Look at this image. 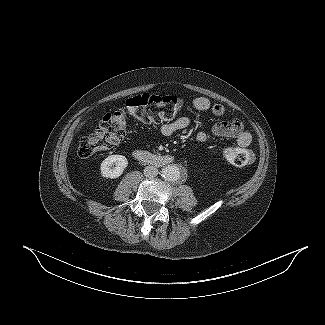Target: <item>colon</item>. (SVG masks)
Listing matches in <instances>:
<instances>
[{
  "instance_id": "obj_1",
  "label": "colon",
  "mask_w": 325,
  "mask_h": 325,
  "mask_svg": "<svg viewBox=\"0 0 325 325\" xmlns=\"http://www.w3.org/2000/svg\"><path fill=\"white\" fill-rule=\"evenodd\" d=\"M182 106V100L172 95L141 94L131 97L124 106L106 113L93 132L81 135L78 153L85 158L114 148L126 135L128 117L145 124H160L173 120ZM223 156L236 166L248 165L252 160L250 152L241 147H228L224 149Z\"/></svg>"
}]
</instances>
